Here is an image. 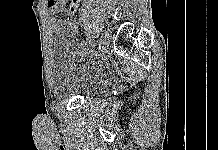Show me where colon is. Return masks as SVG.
I'll return each instance as SVG.
<instances>
[{
  "instance_id": "obj_1",
  "label": "colon",
  "mask_w": 218,
  "mask_h": 150,
  "mask_svg": "<svg viewBox=\"0 0 218 150\" xmlns=\"http://www.w3.org/2000/svg\"><path fill=\"white\" fill-rule=\"evenodd\" d=\"M50 1V3H54V2H56V0H49Z\"/></svg>"
}]
</instances>
